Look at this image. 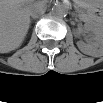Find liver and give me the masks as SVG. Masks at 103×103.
<instances>
[{
	"label": "liver",
	"instance_id": "1",
	"mask_svg": "<svg viewBox=\"0 0 103 103\" xmlns=\"http://www.w3.org/2000/svg\"><path fill=\"white\" fill-rule=\"evenodd\" d=\"M31 6L22 0L1 2L0 49L8 53L17 49L27 34L30 24Z\"/></svg>",
	"mask_w": 103,
	"mask_h": 103
}]
</instances>
